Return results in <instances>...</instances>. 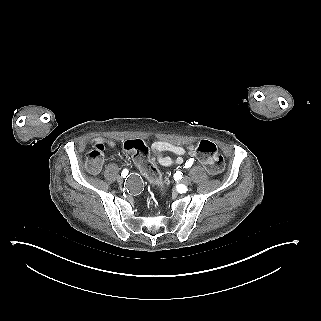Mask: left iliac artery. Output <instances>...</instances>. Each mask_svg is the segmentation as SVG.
Wrapping results in <instances>:
<instances>
[{
  "label": "left iliac artery",
  "instance_id": "44dca946",
  "mask_svg": "<svg viewBox=\"0 0 321 321\" xmlns=\"http://www.w3.org/2000/svg\"><path fill=\"white\" fill-rule=\"evenodd\" d=\"M193 160L192 159H190V160H188L186 163H185V168H189L192 164H193Z\"/></svg>",
  "mask_w": 321,
  "mask_h": 321
}]
</instances>
